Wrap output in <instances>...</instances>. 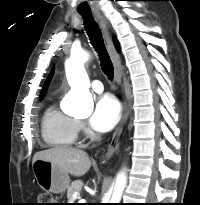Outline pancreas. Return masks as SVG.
I'll return each mask as SVG.
<instances>
[{
    "instance_id": "obj_1",
    "label": "pancreas",
    "mask_w": 200,
    "mask_h": 205,
    "mask_svg": "<svg viewBox=\"0 0 200 205\" xmlns=\"http://www.w3.org/2000/svg\"><path fill=\"white\" fill-rule=\"evenodd\" d=\"M83 182L81 180H75L67 189V198L70 201L72 199V195L75 192H79L82 190Z\"/></svg>"
}]
</instances>
